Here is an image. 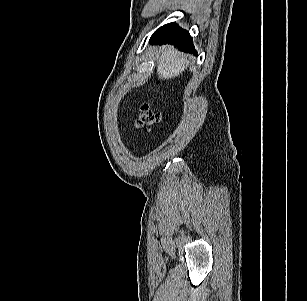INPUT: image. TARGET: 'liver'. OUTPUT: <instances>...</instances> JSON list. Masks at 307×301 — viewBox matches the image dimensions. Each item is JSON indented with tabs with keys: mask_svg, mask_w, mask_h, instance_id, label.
Instances as JSON below:
<instances>
[{
	"mask_svg": "<svg viewBox=\"0 0 307 301\" xmlns=\"http://www.w3.org/2000/svg\"><path fill=\"white\" fill-rule=\"evenodd\" d=\"M157 57V74L160 79H171L179 76L189 65L183 54L172 46H162Z\"/></svg>",
	"mask_w": 307,
	"mask_h": 301,
	"instance_id": "obj_1",
	"label": "liver"
}]
</instances>
